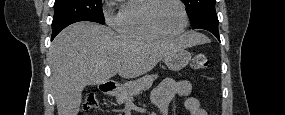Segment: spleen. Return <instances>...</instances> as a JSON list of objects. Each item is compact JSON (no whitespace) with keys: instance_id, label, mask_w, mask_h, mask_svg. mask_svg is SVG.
Returning a JSON list of instances; mask_svg holds the SVG:
<instances>
[{"instance_id":"spleen-1","label":"spleen","mask_w":285,"mask_h":115,"mask_svg":"<svg viewBox=\"0 0 285 115\" xmlns=\"http://www.w3.org/2000/svg\"><path fill=\"white\" fill-rule=\"evenodd\" d=\"M199 36L201 37V40H202L203 42H206V41H207V38H206L205 36H203V35H201V34H199Z\"/></svg>"}]
</instances>
